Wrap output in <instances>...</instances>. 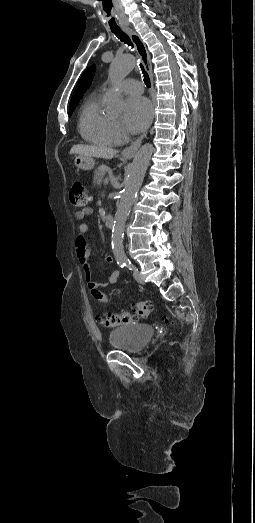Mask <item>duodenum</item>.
<instances>
[{"label": "duodenum", "instance_id": "obj_1", "mask_svg": "<svg viewBox=\"0 0 255 523\" xmlns=\"http://www.w3.org/2000/svg\"><path fill=\"white\" fill-rule=\"evenodd\" d=\"M105 225L107 228H112L114 225V217L111 214L106 215L105 217Z\"/></svg>", "mask_w": 255, "mask_h": 523}]
</instances>
